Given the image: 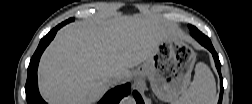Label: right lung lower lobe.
Instances as JSON below:
<instances>
[{
    "label": "right lung lower lobe",
    "mask_w": 252,
    "mask_h": 104,
    "mask_svg": "<svg viewBox=\"0 0 252 104\" xmlns=\"http://www.w3.org/2000/svg\"><path fill=\"white\" fill-rule=\"evenodd\" d=\"M63 25H65L64 22L53 28L46 36L41 39L37 50L30 60L27 81L25 85L26 99L28 104H46L41 98L38 91L37 68L43 51L51 42V40H53L57 30L60 29ZM130 91L131 87L129 83L118 86L108 91L98 104H118L123 97L130 94Z\"/></svg>",
    "instance_id": "right-lung-lower-lobe-1"
}]
</instances>
